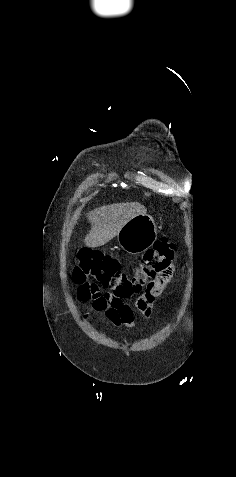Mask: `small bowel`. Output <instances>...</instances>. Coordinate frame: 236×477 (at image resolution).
<instances>
[{
	"label": "small bowel",
	"instance_id": "obj_1",
	"mask_svg": "<svg viewBox=\"0 0 236 477\" xmlns=\"http://www.w3.org/2000/svg\"><path fill=\"white\" fill-rule=\"evenodd\" d=\"M161 292L162 290L150 291L137 298L135 308L141 316L147 318L151 315L154 299ZM92 309L95 312L104 313L106 319L115 326L123 325L127 328H132L137 323L131 308L125 311L113 309L109 305H104L100 300H97V303L92 305Z\"/></svg>",
	"mask_w": 236,
	"mask_h": 477
}]
</instances>
